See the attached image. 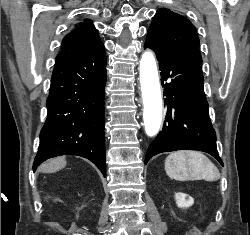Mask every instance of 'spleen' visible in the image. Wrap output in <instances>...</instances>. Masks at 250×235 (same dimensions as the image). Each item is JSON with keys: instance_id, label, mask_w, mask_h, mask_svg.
I'll use <instances>...</instances> for the list:
<instances>
[{"instance_id": "spleen-1", "label": "spleen", "mask_w": 250, "mask_h": 235, "mask_svg": "<svg viewBox=\"0 0 250 235\" xmlns=\"http://www.w3.org/2000/svg\"><path fill=\"white\" fill-rule=\"evenodd\" d=\"M166 174L174 180L217 181L218 168L202 153L196 151H177L165 160Z\"/></svg>"}]
</instances>
